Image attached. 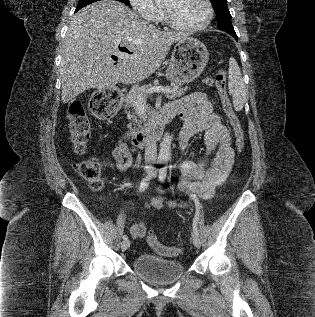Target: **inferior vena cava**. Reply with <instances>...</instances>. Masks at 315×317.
I'll use <instances>...</instances> for the list:
<instances>
[{
	"label": "inferior vena cava",
	"mask_w": 315,
	"mask_h": 317,
	"mask_svg": "<svg viewBox=\"0 0 315 317\" xmlns=\"http://www.w3.org/2000/svg\"><path fill=\"white\" fill-rule=\"evenodd\" d=\"M156 159H157L156 140L153 137H150L146 141V145H145V162L152 164V163H155ZM149 168L151 169L152 167L150 166Z\"/></svg>",
	"instance_id": "obj_1"
}]
</instances>
